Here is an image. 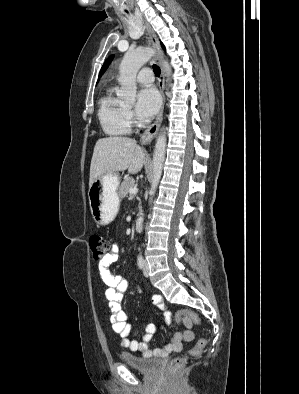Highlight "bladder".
<instances>
[{
    "mask_svg": "<svg viewBox=\"0 0 299 394\" xmlns=\"http://www.w3.org/2000/svg\"><path fill=\"white\" fill-rule=\"evenodd\" d=\"M120 358L123 363L144 374L154 372L161 364L159 359L146 358L129 352L121 353Z\"/></svg>",
    "mask_w": 299,
    "mask_h": 394,
    "instance_id": "bladder-1",
    "label": "bladder"
}]
</instances>
